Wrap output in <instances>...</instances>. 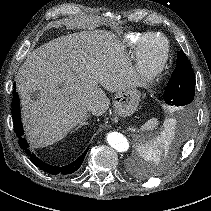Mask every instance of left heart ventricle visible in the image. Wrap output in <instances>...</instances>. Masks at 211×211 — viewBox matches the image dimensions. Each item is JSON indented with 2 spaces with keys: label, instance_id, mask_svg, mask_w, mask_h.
Masks as SVG:
<instances>
[{
  "label": "left heart ventricle",
  "instance_id": "left-heart-ventricle-1",
  "mask_svg": "<svg viewBox=\"0 0 211 211\" xmlns=\"http://www.w3.org/2000/svg\"><path fill=\"white\" fill-rule=\"evenodd\" d=\"M164 43L158 37L149 39L145 45V56L150 62H156L162 55Z\"/></svg>",
  "mask_w": 211,
  "mask_h": 211
}]
</instances>
